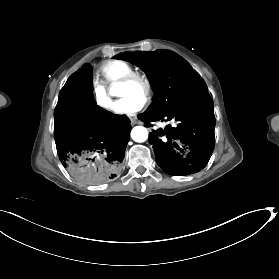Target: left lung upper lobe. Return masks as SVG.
I'll return each mask as SVG.
<instances>
[{
  "label": "left lung upper lobe",
  "mask_w": 279,
  "mask_h": 279,
  "mask_svg": "<svg viewBox=\"0 0 279 279\" xmlns=\"http://www.w3.org/2000/svg\"><path fill=\"white\" fill-rule=\"evenodd\" d=\"M114 58L139 66L149 78L154 96L145 113H167L208 93L192 67L168 51L123 53Z\"/></svg>",
  "instance_id": "1"
}]
</instances>
